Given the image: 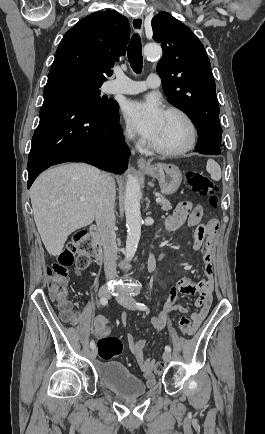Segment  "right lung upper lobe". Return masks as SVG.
I'll return each instance as SVG.
<instances>
[{"instance_id":"cb5924a9","label":"right lung upper lobe","mask_w":265,"mask_h":434,"mask_svg":"<svg viewBox=\"0 0 265 434\" xmlns=\"http://www.w3.org/2000/svg\"><path fill=\"white\" fill-rule=\"evenodd\" d=\"M129 36L125 16L115 10L92 13L65 33L48 76L72 74L104 82L114 61L125 55Z\"/></svg>"}]
</instances>
